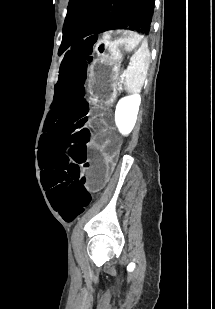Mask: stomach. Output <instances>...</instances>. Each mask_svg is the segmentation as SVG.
I'll return each mask as SVG.
<instances>
[{"mask_svg": "<svg viewBox=\"0 0 215 309\" xmlns=\"http://www.w3.org/2000/svg\"><path fill=\"white\" fill-rule=\"evenodd\" d=\"M142 41L140 34L128 29H116L101 35L95 47L97 58L87 77L88 90L94 100H108L113 96L123 55L134 51Z\"/></svg>", "mask_w": 215, "mask_h": 309, "instance_id": "stomach-1", "label": "stomach"}]
</instances>
